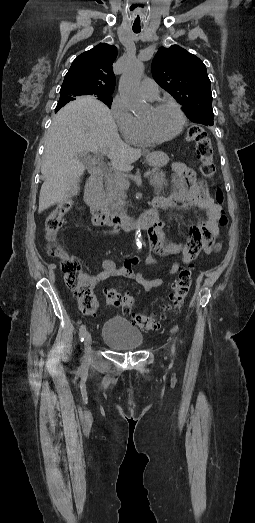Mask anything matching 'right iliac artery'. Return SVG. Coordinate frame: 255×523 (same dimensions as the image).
Here are the masks:
<instances>
[{
  "mask_svg": "<svg viewBox=\"0 0 255 523\" xmlns=\"http://www.w3.org/2000/svg\"><path fill=\"white\" fill-rule=\"evenodd\" d=\"M85 333H86V327H85V325H82L80 327V331H79V337H80L81 342L84 340Z\"/></svg>",
  "mask_w": 255,
  "mask_h": 523,
  "instance_id": "right-iliac-artery-1",
  "label": "right iliac artery"
}]
</instances>
